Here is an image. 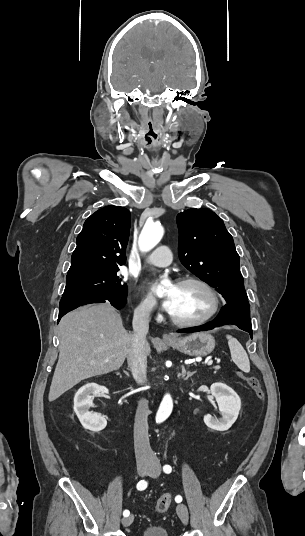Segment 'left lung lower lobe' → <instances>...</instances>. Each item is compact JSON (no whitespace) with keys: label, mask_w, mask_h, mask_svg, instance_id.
Returning <instances> with one entry per match:
<instances>
[{"label":"left lung lower lobe","mask_w":305,"mask_h":536,"mask_svg":"<svg viewBox=\"0 0 305 536\" xmlns=\"http://www.w3.org/2000/svg\"><path fill=\"white\" fill-rule=\"evenodd\" d=\"M233 324L240 329L248 332L252 338V325L250 320L249 303L226 304L220 311L219 315L210 323L192 328L178 330L179 333H192L197 331L210 330L222 325Z\"/></svg>","instance_id":"left-lung-lower-lobe-1"}]
</instances>
